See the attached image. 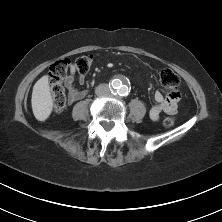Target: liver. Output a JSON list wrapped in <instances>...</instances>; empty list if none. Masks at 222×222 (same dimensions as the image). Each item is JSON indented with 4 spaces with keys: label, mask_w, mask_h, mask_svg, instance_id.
Segmentation results:
<instances>
[{
    "label": "liver",
    "mask_w": 222,
    "mask_h": 222,
    "mask_svg": "<svg viewBox=\"0 0 222 222\" xmlns=\"http://www.w3.org/2000/svg\"><path fill=\"white\" fill-rule=\"evenodd\" d=\"M48 76H42L33 86L32 111L38 121H45L53 109V99L51 96Z\"/></svg>",
    "instance_id": "obj_1"
}]
</instances>
